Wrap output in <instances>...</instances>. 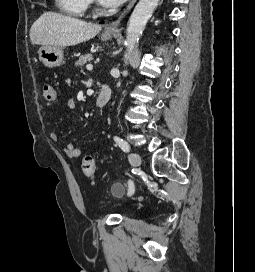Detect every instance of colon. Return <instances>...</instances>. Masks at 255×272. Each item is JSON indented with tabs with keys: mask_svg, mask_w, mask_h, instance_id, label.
Masks as SVG:
<instances>
[{
	"mask_svg": "<svg viewBox=\"0 0 255 272\" xmlns=\"http://www.w3.org/2000/svg\"><path fill=\"white\" fill-rule=\"evenodd\" d=\"M43 96L47 101H55L57 98V93L54 86L50 83H45L43 85ZM82 170L85 176L88 178H93L95 174V163L92 156H85L82 161ZM115 193L122 192V186L117 185L115 188Z\"/></svg>",
	"mask_w": 255,
	"mask_h": 272,
	"instance_id": "colon-1",
	"label": "colon"
}]
</instances>
